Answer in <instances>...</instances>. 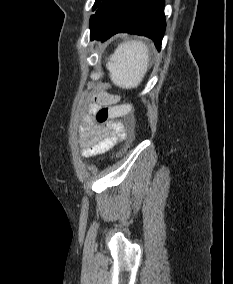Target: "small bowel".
Returning a JSON list of instances; mask_svg holds the SVG:
<instances>
[{"mask_svg":"<svg viewBox=\"0 0 233 284\" xmlns=\"http://www.w3.org/2000/svg\"><path fill=\"white\" fill-rule=\"evenodd\" d=\"M97 103L113 107L116 106L117 97L100 93L95 96L91 108L87 110L79 130L80 146L85 157L102 154L132 134V118L129 116L124 117L122 121H110L105 126L96 124L92 109Z\"/></svg>","mask_w":233,"mask_h":284,"instance_id":"small-bowel-1","label":"small bowel"}]
</instances>
